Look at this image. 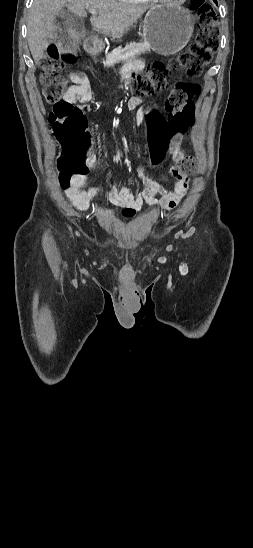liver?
Instances as JSON below:
<instances>
[{
	"mask_svg": "<svg viewBox=\"0 0 253 548\" xmlns=\"http://www.w3.org/2000/svg\"><path fill=\"white\" fill-rule=\"evenodd\" d=\"M64 7L82 18L87 10H96L90 18L93 29L114 39L121 38L147 10L115 0H34L27 21V40L35 63L43 58L49 38L59 29L56 16Z\"/></svg>",
	"mask_w": 253,
	"mask_h": 548,
	"instance_id": "liver-1",
	"label": "liver"
}]
</instances>
